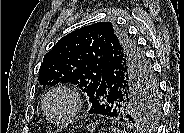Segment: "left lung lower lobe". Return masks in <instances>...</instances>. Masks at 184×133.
Wrapping results in <instances>:
<instances>
[{
	"label": "left lung lower lobe",
	"mask_w": 184,
	"mask_h": 133,
	"mask_svg": "<svg viewBox=\"0 0 184 133\" xmlns=\"http://www.w3.org/2000/svg\"><path fill=\"white\" fill-rule=\"evenodd\" d=\"M120 64L114 57L111 59L107 57L105 60L103 79L93 95L89 113L113 118L120 116L123 103L129 94V89L126 87V75ZM141 87L145 94L152 95L150 83L141 81Z\"/></svg>",
	"instance_id": "obj_1"
}]
</instances>
